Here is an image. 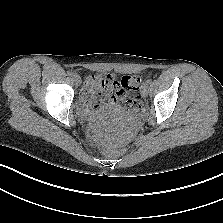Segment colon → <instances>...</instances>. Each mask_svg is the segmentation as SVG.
I'll use <instances>...</instances> for the list:
<instances>
[{
	"label": "colon",
	"instance_id": "obj_1",
	"mask_svg": "<svg viewBox=\"0 0 223 223\" xmlns=\"http://www.w3.org/2000/svg\"><path fill=\"white\" fill-rule=\"evenodd\" d=\"M140 83L141 78L138 75L123 76L115 79L113 83L116 94L120 96V101L131 112H137L141 108V100L137 94Z\"/></svg>",
	"mask_w": 223,
	"mask_h": 223
}]
</instances>
